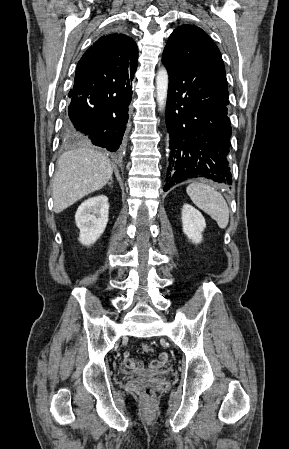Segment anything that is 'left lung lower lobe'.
I'll return each mask as SVG.
<instances>
[{
  "instance_id": "1",
  "label": "left lung lower lobe",
  "mask_w": 289,
  "mask_h": 449,
  "mask_svg": "<svg viewBox=\"0 0 289 449\" xmlns=\"http://www.w3.org/2000/svg\"><path fill=\"white\" fill-rule=\"evenodd\" d=\"M162 62L169 75V165L164 191L194 177L231 185L229 95L191 65L165 56Z\"/></svg>"
}]
</instances>
